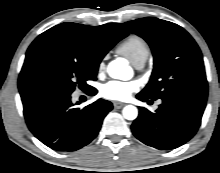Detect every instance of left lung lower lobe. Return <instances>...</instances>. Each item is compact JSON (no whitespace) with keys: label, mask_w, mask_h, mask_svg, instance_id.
Masks as SVG:
<instances>
[{"label":"left lung lower lobe","mask_w":220,"mask_h":173,"mask_svg":"<svg viewBox=\"0 0 220 173\" xmlns=\"http://www.w3.org/2000/svg\"><path fill=\"white\" fill-rule=\"evenodd\" d=\"M141 101L148 98L137 95ZM205 100L188 97L162 99L155 113L139 108V116L133 122V134L144 144L160 150L175 149L189 141L197 132Z\"/></svg>","instance_id":"1"}]
</instances>
